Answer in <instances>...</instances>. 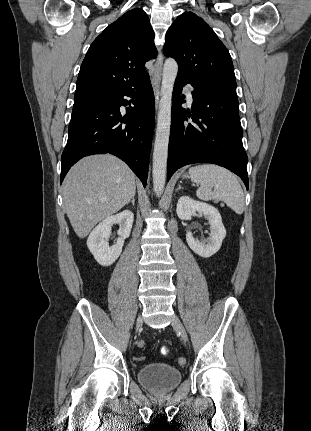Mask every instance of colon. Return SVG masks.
I'll list each match as a JSON object with an SVG mask.
<instances>
[{"instance_id":"5ec220e1","label":"colon","mask_w":311,"mask_h":431,"mask_svg":"<svg viewBox=\"0 0 311 431\" xmlns=\"http://www.w3.org/2000/svg\"><path fill=\"white\" fill-rule=\"evenodd\" d=\"M138 346H139V348H144L145 347V342L144 341H140L139 342V344H138ZM135 360H137V361H142V360H144V356H142V355H138V356H136L135 357ZM186 359L184 358V357H180V358H178V360H177V363H178V365H180V366H184L185 364H186Z\"/></svg>"}]
</instances>
